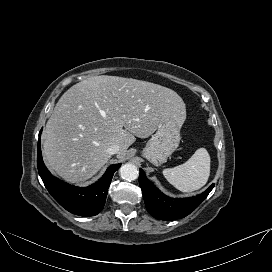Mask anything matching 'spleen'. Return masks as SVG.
<instances>
[{
  "label": "spleen",
  "instance_id": "spleen-1",
  "mask_svg": "<svg viewBox=\"0 0 272 272\" xmlns=\"http://www.w3.org/2000/svg\"><path fill=\"white\" fill-rule=\"evenodd\" d=\"M166 180L182 192H192L202 188L210 175V156L205 148H199L184 163L163 170Z\"/></svg>",
  "mask_w": 272,
  "mask_h": 272
}]
</instances>
